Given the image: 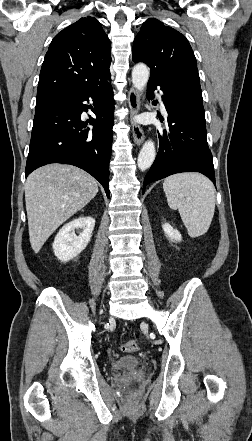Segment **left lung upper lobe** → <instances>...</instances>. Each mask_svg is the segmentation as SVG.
<instances>
[{
	"mask_svg": "<svg viewBox=\"0 0 252 441\" xmlns=\"http://www.w3.org/2000/svg\"><path fill=\"white\" fill-rule=\"evenodd\" d=\"M132 60L150 67L149 81L185 83L200 96L196 59L184 35L161 21L146 20L134 39Z\"/></svg>",
	"mask_w": 252,
	"mask_h": 441,
	"instance_id": "obj_1",
	"label": "left lung upper lobe"
}]
</instances>
